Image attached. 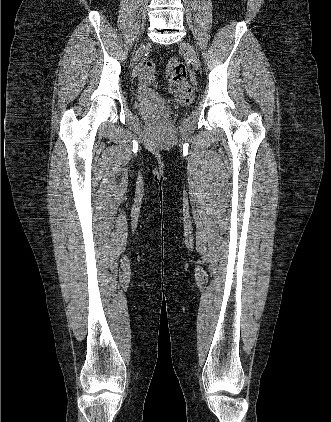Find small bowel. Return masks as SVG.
Instances as JSON below:
<instances>
[{
  "instance_id": "obj_1",
  "label": "small bowel",
  "mask_w": 331,
  "mask_h": 422,
  "mask_svg": "<svg viewBox=\"0 0 331 422\" xmlns=\"http://www.w3.org/2000/svg\"><path fill=\"white\" fill-rule=\"evenodd\" d=\"M138 76L140 78V86H139L140 92L142 94H147V93L151 92L153 90L154 86H155L154 81L153 80H146L145 78H143L140 75V72H138Z\"/></svg>"
}]
</instances>
